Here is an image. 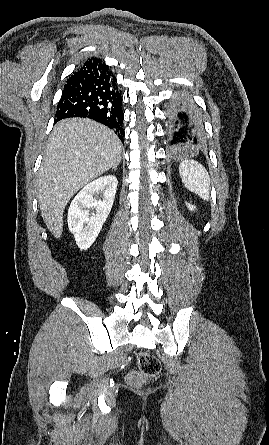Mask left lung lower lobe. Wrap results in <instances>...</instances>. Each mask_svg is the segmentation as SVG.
Masks as SVG:
<instances>
[{
    "label": "left lung lower lobe",
    "mask_w": 269,
    "mask_h": 445,
    "mask_svg": "<svg viewBox=\"0 0 269 445\" xmlns=\"http://www.w3.org/2000/svg\"><path fill=\"white\" fill-rule=\"evenodd\" d=\"M170 145L195 146L201 143L203 128L193 104L184 97L177 98L168 110Z\"/></svg>",
    "instance_id": "left-lung-lower-lobe-1"
}]
</instances>
